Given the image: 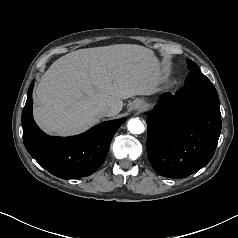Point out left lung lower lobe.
Returning a JSON list of instances; mask_svg holds the SVG:
<instances>
[{
    "instance_id": "0a47b994",
    "label": "left lung lower lobe",
    "mask_w": 238,
    "mask_h": 238,
    "mask_svg": "<svg viewBox=\"0 0 238 238\" xmlns=\"http://www.w3.org/2000/svg\"><path fill=\"white\" fill-rule=\"evenodd\" d=\"M147 115V154L158 174L183 178L211 160L221 132L218 96L183 87L163 94Z\"/></svg>"
}]
</instances>
